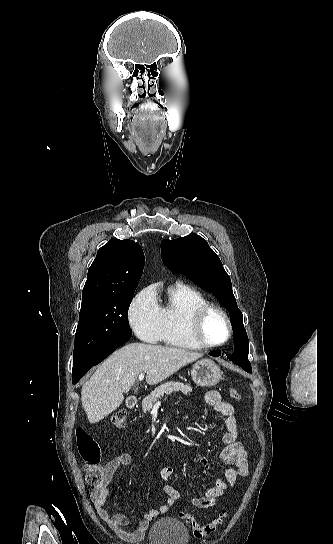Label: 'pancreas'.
Listing matches in <instances>:
<instances>
[{
    "instance_id": "obj_1",
    "label": "pancreas",
    "mask_w": 333,
    "mask_h": 544,
    "mask_svg": "<svg viewBox=\"0 0 333 544\" xmlns=\"http://www.w3.org/2000/svg\"><path fill=\"white\" fill-rule=\"evenodd\" d=\"M188 395L192 388L189 385H185L181 382L170 381L158 386L149 396L143 399L142 409L144 412L151 410L153 404L157 402L164 394L170 395L173 392H178Z\"/></svg>"
}]
</instances>
